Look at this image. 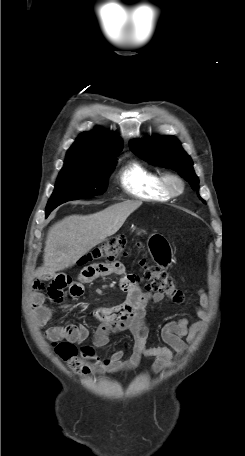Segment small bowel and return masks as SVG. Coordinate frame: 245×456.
<instances>
[{"instance_id": "c3829d8e", "label": "small bowel", "mask_w": 245, "mask_h": 456, "mask_svg": "<svg viewBox=\"0 0 245 456\" xmlns=\"http://www.w3.org/2000/svg\"><path fill=\"white\" fill-rule=\"evenodd\" d=\"M118 276L120 288L127 292L124 302L113 307H100L94 312L95 317L102 321V325L93 336V345L84 346L80 350L81 360L94 373H111L136 368L142 357L153 358L152 371L158 373L174 364L177 357L182 356L188 344L194 340L196 333L202 327L209 307V298L203 289L197 290L199 299L195 313L198 320L189 322L187 318L166 323L161 329V339L165 346L148 347V327L145 322L146 306L149 302H160L164 295L160 292H151L141 289L139 277L128 274L124 265L119 261L91 264L83 268L76 278L71 280L64 273L46 275L36 280L32 285V308L34 319L38 326H44L52 317V309L45 304L44 290L48 297L56 303L62 301L63 290L68 287L73 297L83 294L84 285L100 277ZM50 280L49 285L45 282ZM128 330L133 336V346L130 357L123 361L124 352L117 350L107 358L100 359L95 347H104L110 336L116 332ZM48 340L58 342L66 340L69 343H82L89 337V331L83 324H64L50 327L45 332Z\"/></svg>"}]
</instances>
